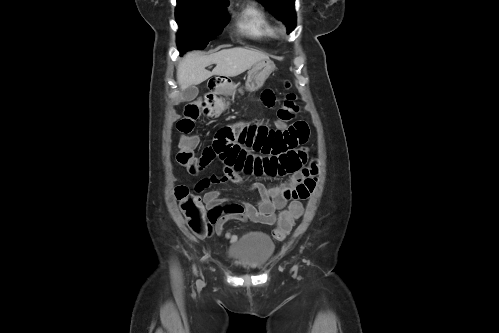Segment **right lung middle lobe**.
<instances>
[{"label": "right lung middle lobe", "mask_w": 499, "mask_h": 333, "mask_svg": "<svg viewBox=\"0 0 499 333\" xmlns=\"http://www.w3.org/2000/svg\"><path fill=\"white\" fill-rule=\"evenodd\" d=\"M229 0H177L176 21L180 27L177 45L181 54L204 49L227 25Z\"/></svg>", "instance_id": "1"}]
</instances>
